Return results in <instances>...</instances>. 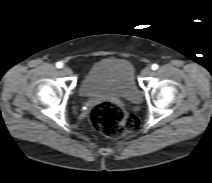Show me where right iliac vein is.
Here are the masks:
<instances>
[{"label":"right iliac vein","instance_id":"obj_1","mask_svg":"<svg viewBox=\"0 0 212 183\" xmlns=\"http://www.w3.org/2000/svg\"><path fill=\"white\" fill-rule=\"evenodd\" d=\"M62 71L66 74V75H71L72 74V70L69 67H63Z\"/></svg>","mask_w":212,"mask_h":183}]
</instances>
